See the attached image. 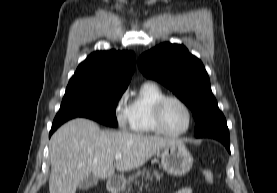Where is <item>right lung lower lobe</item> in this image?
<instances>
[{
	"label": "right lung lower lobe",
	"instance_id": "obj_1",
	"mask_svg": "<svg viewBox=\"0 0 277 193\" xmlns=\"http://www.w3.org/2000/svg\"><path fill=\"white\" fill-rule=\"evenodd\" d=\"M69 119H54L53 124H52V128L51 131L49 133V137L52 135V133L60 126L62 125L64 122H66Z\"/></svg>",
	"mask_w": 277,
	"mask_h": 193
}]
</instances>
